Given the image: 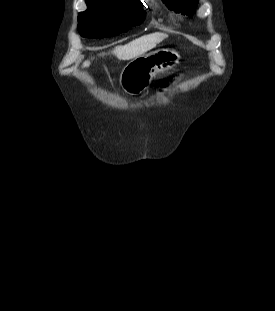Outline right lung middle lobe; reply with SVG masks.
<instances>
[{"label": "right lung middle lobe", "mask_w": 275, "mask_h": 311, "mask_svg": "<svg viewBox=\"0 0 275 311\" xmlns=\"http://www.w3.org/2000/svg\"><path fill=\"white\" fill-rule=\"evenodd\" d=\"M79 13L78 30L83 37L103 38L127 31L142 23L144 12L140 1L93 3Z\"/></svg>", "instance_id": "dd1d6c3e"}]
</instances>
